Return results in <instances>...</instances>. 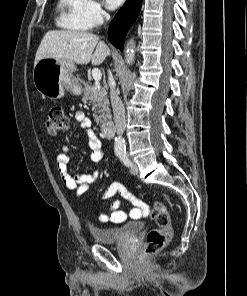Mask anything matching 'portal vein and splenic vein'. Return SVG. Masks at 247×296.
Instances as JSON below:
<instances>
[{
  "label": "portal vein and splenic vein",
  "instance_id": "portal-vein-and-splenic-vein-1",
  "mask_svg": "<svg viewBox=\"0 0 247 296\" xmlns=\"http://www.w3.org/2000/svg\"><path fill=\"white\" fill-rule=\"evenodd\" d=\"M92 77L96 82L100 81L102 78V73H101L100 69L94 68L92 70Z\"/></svg>",
  "mask_w": 247,
  "mask_h": 296
}]
</instances>
